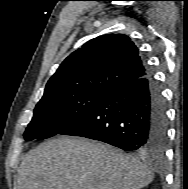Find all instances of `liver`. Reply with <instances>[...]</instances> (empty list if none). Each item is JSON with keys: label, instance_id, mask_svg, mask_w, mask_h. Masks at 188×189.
Masks as SVG:
<instances>
[{"label": "liver", "instance_id": "6515ba94", "mask_svg": "<svg viewBox=\"0 0 188 189\" xmlns=\"http://www.w3.org/2000/svg\"><path fill=\"white\" fill-rule=\"evenodd\" d=\"M152 180L146 166L116 148L62 136L25 155L15 189H141Z\"/></svg>", "mask_w": 188, "mask_h": 189}]
</instances>
